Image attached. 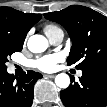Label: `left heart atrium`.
Here are the masks:
<instances>
[{"label":"left heart atrium","instance_id":"left-heart-atrium-1","mask_svg":"<svg viewBox=\"0 0 107 107\" xmlns=\"http://www.w3.org/2000/svg\"><path fill=\"white\" fill-rule=\"evenodd\" d=\"M63 60V56L60 53H54L42 56L36 59L33 62L34 67L38 68L44 72H51L54 71L59 62Z\"/></svg>","mask_w":107,"mask_h":107}]
</instances>
